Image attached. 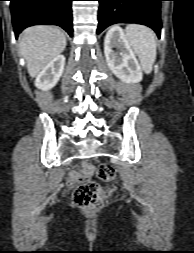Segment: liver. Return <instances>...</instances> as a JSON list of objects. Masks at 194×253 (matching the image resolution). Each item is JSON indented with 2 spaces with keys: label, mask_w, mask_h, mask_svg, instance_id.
Returning <instances> with one entry per match:
<instances>
[{
  "label": "liver",
  "mask_w": 194,
  "mask_h": 253,
  "mask_svg": "<svg viewBox=\"0 0 194 253\" xmlns=\"http://www.w3.org/2000/svg\"><path fill=\"white\" fill-rule=\"evenodd\" d=\"M65 33L58 27L37 25L20 35L19 51L25 59L28 73L37 76L40 71L66 47Z\"/></svg>",
  "instance_id": "6515ba94"
}]
</instances>
